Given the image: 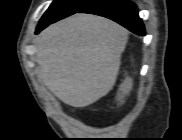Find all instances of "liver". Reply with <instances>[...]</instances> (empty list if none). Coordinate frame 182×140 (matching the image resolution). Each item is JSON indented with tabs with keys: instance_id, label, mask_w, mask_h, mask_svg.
Wrapping results in <instances>:
<instances>
[{
	"instance_id": "1",
	"label": "liver",
	"mask_w": 182,
	"mask_h": 140,
	"mask_svg": "<svg viewBox=\"0 0 182 140\" xmlns=\"http://www.w3.org/2000/svg\"><path fill=\"white\" fill-rule=\"evenodd\" d=\"M128 31L90 14H74L36 38L38 79L63 103L86 107L115 84Z\"/></svg>"
}]
</instances>
